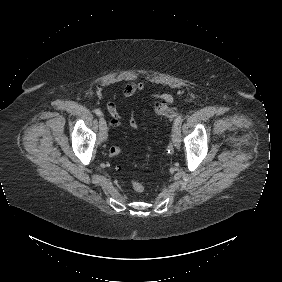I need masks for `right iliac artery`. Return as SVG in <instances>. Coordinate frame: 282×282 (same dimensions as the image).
Here are the masks:
<instances>
[{
  "instance_id": "82829eb1",
  "label": "right iliac artery",
  "mask_w": 282,
  "mask_h": 282,
  "mask_svg": "<svg viewBox=\"0 0 282 282\" xmlns=\"http://www.w3.org/2000/svg\"><path fill=\"white\" fill-rule=\"evenodd\" d=\"M95 113L98 116H102V112L99 109H95Z\"/></svg>"
}]
</instances>
